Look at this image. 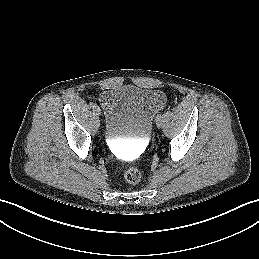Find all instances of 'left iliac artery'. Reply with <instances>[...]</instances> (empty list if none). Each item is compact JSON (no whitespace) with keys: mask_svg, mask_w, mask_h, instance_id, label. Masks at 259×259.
<instances>
[{"mask_svg":"<svg viewBox=\"0 0 259 259\" xmlns=\"http://www.w3.org/2000/svg\"><path fill=\"white\" fill-rule=\"evenodd\" d=\"M162 116L159 114L156 116V121L159 122L161 120Z\"/></svg>","mask_w":259,"mask_h":259,"instance_id":"obj_1","label":"left iliac artery"}]
</instances>
